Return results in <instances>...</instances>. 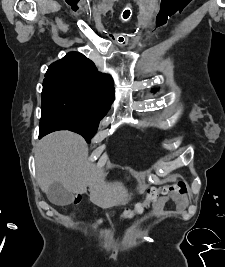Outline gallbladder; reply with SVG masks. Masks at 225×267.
<instances>
[{
  "label": "gallbladder",
  "mask_w": 225,
  "mask_h": 267,
  "mask_svg": "<svg viewBox=\"0 0 225 267\" xmlns=\"http://www.w3.org/2000/svg\"><path fill=\"white\" fill-rule=\"evenodd\" d=\"M46 193L49 201L55 205H69L73 200V194L67 191L60 182H53Z\"/></svg>",
  "instance_id": "1"
}]
</instances>
